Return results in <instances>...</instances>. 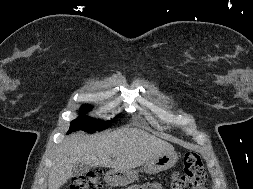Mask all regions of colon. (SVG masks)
I'll list each match as a JSON object with an SVG mask.
<instances>
[{
  "label": "colon",
  "mask_w": 253,
  "mask_h": 189,
  "mask_svg": "<svg viewBox=\"0 0 253 189\" xmlns=\"http://www.w3.org/2000/svg\"><path fill=\"white\" fill-rule=\"evenodd\" d=\"M101 175L100 169H93L74 177L70 182V189H103ZM206 179L207 173L200 154L187 152L183 161V173L173 177L171 189H202Z\"/></svg>",
  "instance_id": "5ec220e1"
}]
</instances>
